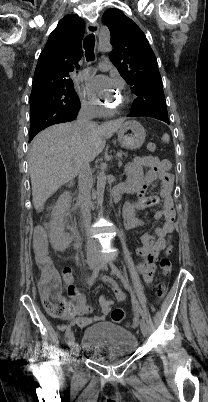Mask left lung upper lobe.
<instances>
[{"mask_svg":"<svg viewBox=\"0 0 208 402\" xmlns=\"http://www.w3.org/2000/svg\"><path fill=\"white\" fill-rule=\"evenodd\" d=\"M102 21L111 34L109 58L138 96L130 112L168 120L157 60L145 34L118 9L106 10Z\"/></svg>","mask_w":208,"mask_h":402,"instance_id":"left-lung-upper-lobe-1","label":"left lung upper lobe"}]
</instances>
